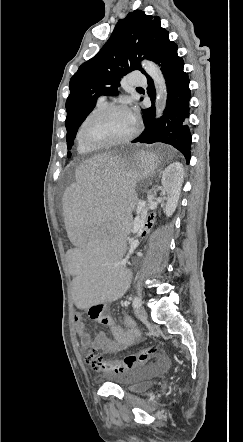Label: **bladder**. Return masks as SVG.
I'll use <instances>...</instances> for the list:
<instances>
[{
    "label": "bladder",
    "instance_id": "31cf9c89",
    "mask_svg": "<svg viewBox=\"0 0 243 442\" xmlns=\"http://www.w3.org/2000/svg\"><path fill=\"white\" fill-rule=\"evenodd\" d=\"M165 364V360H161L157 364L139 368L127 377L117 380L116 383L131 393L145 392L151 387L152 378Z\"/></svg>",
    "mask_w": 243,
    "mask_h": 442
}]
</instances>
